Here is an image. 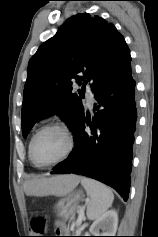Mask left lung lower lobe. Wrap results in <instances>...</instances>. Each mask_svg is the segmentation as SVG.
I'll return each instance as SVG.
<instances>
[{
	"label": "left lung lower lobe",
	"mask_w": 158,
	"mask_h": 237,
	"mask_svg": "<svg viewBox=\"0 0 158 237\" xmlns=\"http://www.w3.org/2000/svg\"><path fill=\"white\" fill-rule=\"evenodd\" d=\"M94 95L97 113L92 121L83 115L74 132V150L51 173L94 178L114 188L126 201L137 120L130 63L121 67ZM85 124L89 125L90 134L85 132Z\"/></svg>",
	"instance_id": "obj_1"
}]
</instances>
